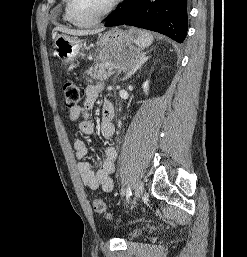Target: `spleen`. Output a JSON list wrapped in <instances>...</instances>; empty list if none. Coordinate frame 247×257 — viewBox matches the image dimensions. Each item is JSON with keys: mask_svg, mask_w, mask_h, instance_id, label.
<instances>
[{"mask_svg": "<svg viewBox=\"0 0 247 257\" xmlns=\"http://www.w3.org/2000/svg\"><path fill=\"white\" fill-rule=\"evenodd\" d=\"M152 42L153 36L149 32L138 30V36L134 39V43L141 48H145L148 47Z\"/></svg>", "mask_w": 247, "mask_h": 257, "instance_id": "1", "label": "spleen"}]
</instances>
